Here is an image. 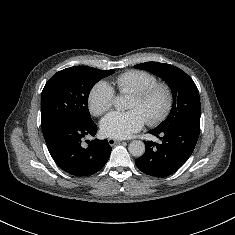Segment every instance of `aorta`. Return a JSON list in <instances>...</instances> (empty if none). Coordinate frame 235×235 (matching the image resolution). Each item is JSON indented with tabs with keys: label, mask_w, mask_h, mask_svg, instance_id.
Segmentation results:
<instances>
[{
	"label": "aorta",
	"mask_w": 235,
	"mask_h": 235,
	"mask_svg": "<svg viewBox=\"0 0 235 235\" xmlns=\"http://www.w3.org/2000/svg\"><path fill=\"white\" fill-rule=\"evenodd\" d=\"M114 105L117 109H125L127 101L124 97L118 96L115 98ZM131 155L141 157L145 153V144L140 140H133L128 146Z\"/></svg>",
	"instance_id": "aorta-1"
}]
</instances>
